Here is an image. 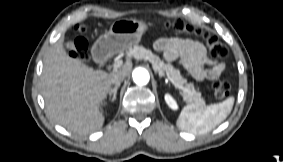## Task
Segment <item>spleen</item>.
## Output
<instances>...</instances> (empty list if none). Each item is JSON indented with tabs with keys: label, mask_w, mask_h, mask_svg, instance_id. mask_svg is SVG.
<instances>
[{
	"label": "spleen",
	"mask_w": 283,
	"mask_h": 162,
	"mask_svg": "<svg viewBox=\"0 0 283 162\" xmlns=\"http://www.w3.org/2000/svg\"><path fill=\"white\" fill-rule=\"evenodd\" d=\"M233 105L234 97L206 107L188 104L182 108L176 124L183 131L204 134L222 123L231 113Z\"/></svg>",
	"instance_id": "3e777b00"
}]
</instances>
